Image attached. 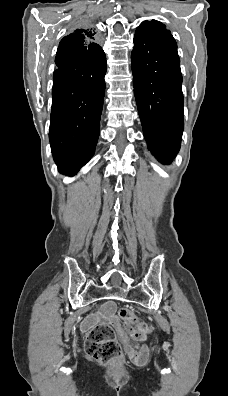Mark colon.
Here are the masks:
<instances>
[{"label": "colon", "instance_id": "1", "mask_svg": "<svg viewBox=\"0 0 228 396\" xmlns=\"http://www.w3.org/2000/svg\"><path fill=\"white\" fill-rule=\"evenodd\" d=\"M118 314L124 322L134 325L139 332L145 334L149 332V326L144 322H139L132 310L121 308ZM85 352L89 358L102 364L114 362L122 356L114 331L107 324L98 325L90 331L85 342Z\"/></svg>", "mask_w": 228, "mask_h": 396}]
</instances>
